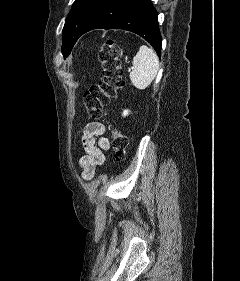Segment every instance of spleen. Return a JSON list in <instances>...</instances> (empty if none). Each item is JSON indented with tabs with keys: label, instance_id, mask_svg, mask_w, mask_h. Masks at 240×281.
I'll return each mask as SVG.
<instances>
[{
	"label": "spleen",
	"instance_id": "3e777b00",
	"mask_svg": "<svg viewBox=\"0 0 240 281\" xmlns=\"http://www.w3.org/2000/svg\"><path fill=\"white\" fill-rule=\"evenodd\" d=\"M130 72L132 84L140 90L146 89L154 80L159 69V60L155 51L142 45L133 58Z\"/></svg>",
	"mask_w": 240,
	"mask_h": 281
}]
</instances>
